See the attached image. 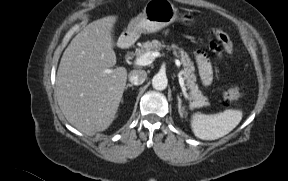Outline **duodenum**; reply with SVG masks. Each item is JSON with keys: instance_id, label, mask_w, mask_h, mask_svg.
<instances>
[{"instance_id": "obj_1", "label": "duodenum", "mask_w": 288, "mask_h": 181, "mask_svg": "<svg viewBox=\"0 0 288 181\" xmlns=\"http://www.w3.org/2000/svg\"><path fill=\"white\" fill-rule=\"evenodd\" d=\"M129 42H130V39H129V38L123 37V38L120 40V45H121V47L127 48L128 45H129Z\"/></svg>"}]
</instances>
